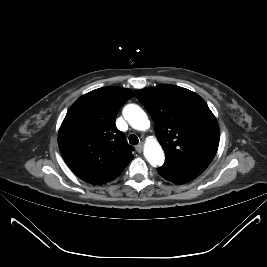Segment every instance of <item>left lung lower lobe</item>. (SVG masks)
Masks as SVG:
<instances>
[{"mask_svg":"<svg viewBox=\"0 0 267 267\" xmlns=\"http://www.w3.org/2000/svg\"><path fill=\"white\" fill-rule=\"evenodd\" d=\"M157 171L160 176L176 184L187 183L200 175L191 170L174 166L168 163H164L163 166L157 168Z\"/></svg>","mask_w":267,"mask_h":267,"instance_id":"0a47b994","label":"left lung lower lobe"}]
</instances>
